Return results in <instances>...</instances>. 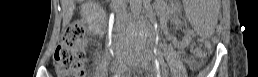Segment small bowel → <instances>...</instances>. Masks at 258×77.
<instances>
[{
	"mask_svg": "<svg viewBox=\"0 0 258 77\" xmlns=\"http://www.w3.org/2000/svg\"><path fill=\"white\" fill-rule=\"evenodd\" d=\"M189 43V40L188 39H184L183 41H181L179 43L180 46H184V45H187Z\"/></svg>",
	"mask_w": 258,
	"mask_h": 77,
	"instance_id": "c3829d8e",
	"label": "small bowel"
}]
</instances>
